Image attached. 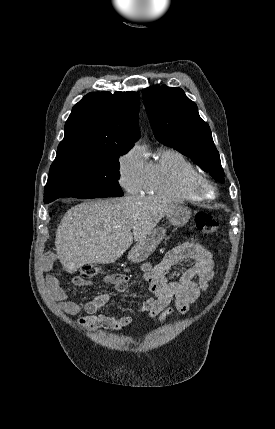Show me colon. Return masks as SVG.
Segmentation results:
<instances>
[{
  "label": "colon",
  "mask_w": 275,
  "mask_h": 429,
  "mask_svg": "<svg viewBox=\"0 0 275 429\" xmlns=\"http://www.w3.org/2000/svg\"><path fill=\"white\" fill-rule=\"evenodd\" d=\"M194 221L196 228L206 234H213L219 228L217 219L205 211L196 212ZM80 272L85 279H95L101 275L102 270L98 266L86 264L81 267Z\"/></svg>",
  "instance_id": "5ec220e1"
}]
</instances>
